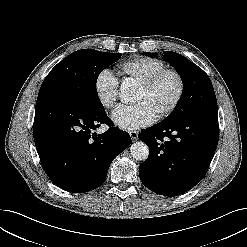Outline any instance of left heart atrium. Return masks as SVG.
<instances>
[{
  "label": "left heart atrium",
  "mask_w": 247,
  "mask_h": 247,
  "mask_svg": "<svg viewBox=\"0 0 247 247\" xmlns=\"http://www.w3.org/2000/svg\"><path fill=\"white\" fill-rule=\"evenodd\" d=\"M157 117L156 111L146 101H140L132 106H118L111 114L115 125L125 130L150 125Z\"/></svg>",
  "instance_id": "1"
}]
</instances>
